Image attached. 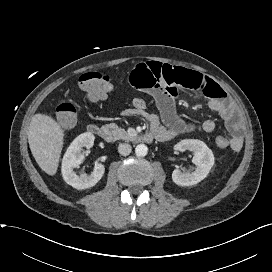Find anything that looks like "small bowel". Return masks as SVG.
Returning a JSON list of instances; mask_svg holds the SVG:
<instances>
[{
    "label": "small bowel",
    "instance_id": "small-bowel-1",
    "mask_svg": "<svg viewBox=\"0 0 272 272\" xmlns=\"http://www.w3.org/2000/svg\"><path fill=\"white\" fill-rule=\"evenodd\" d=\"M131 84L155 100L159 115L145 109L129 108L123 111L125 116H140L150 127V132L158 141H169L183 135L210 133L216 128L212 119L202 122H188L182 119L176 110L175 96L184 90L198 91L208 98L209 107L224 120L231 135L230 147L240 151L243 135L239 116L226 92L217 83L204 75L182 67L159 62H143L130 74Z\"/></svg>",
    "mask_w": 272,
    "mask_h": 272
}]
</instances>
